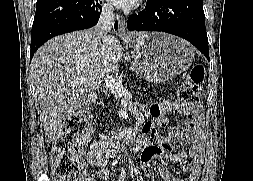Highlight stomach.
<instances>
[{
	"mask_svg": "<svg viewBox=\"0 0 253 181\" xmlns=\"http://www.w3.org/2000/svg\"><path fill=\"white\" fill-rule=\"evenodd\" d=\"M133 50L132 69L149 82H164L190 68L193 49L183 39L149 32L129 42Z\"/></svg>",
	"mask_w": 253,
	"mask_h": 181,
	"instance_id": "1",
	"label": "stomach"
}]
</instances>
